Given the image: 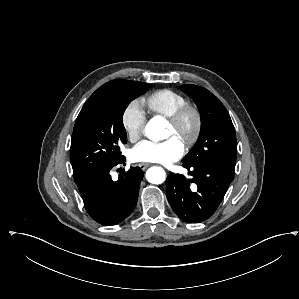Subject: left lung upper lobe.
I'll return each instance as SVG.
<instances>
[{
  "label": "left lung upper lobe",
  "instance_id": "1",
  "mask_svg": "<svg viewBox=\"0 0 299 299\" xmlns=\"http://www.w3.org/2000/svg\"><path fill=\"white\" fill-rule=\"evenodd\" d=\"M198 106L201 116L199 138L192 150L183 158V164L194 166L218 163L235 169L236 134L231 118L220 100L211 92L197 85L180 87Z\"/></svg>",
  "mask_w": 299,
  "mask_h": 299
}]
</instances>
